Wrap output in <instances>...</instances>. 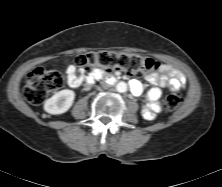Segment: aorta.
<instances>
[{"mask_svg":"<svg viewBox=\"0 0 222 187\" xmlns=\"http://www.w3.org/2000/svg\"><path fill=\"white\" fill-rule=\"evenodd\" d=\"M116 90L120 93H124L127 91V84L125 82H119L116 85Z\"/></svg>","mask_w":222,"mask_h":187,"instance_id":"obj_1","label":"aorta"}]
</instances>
